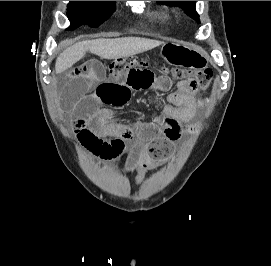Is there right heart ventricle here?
Returning a JSON list of instances; mask_svg holds the SVG:
<instances>
[{
  "label": "right heart ventricle",
  "instance_id": "obj_1",
  "mask_svg": "<svg viewBox=\"0 0 271 266\" xmlns=\"http://www.w3.org/2000/svg\"><path fill=\"white\" fill-rule=\"evenodd\" d=\"M154 15L158 16V17H162V18H165L168 16V13L167 11H164V10H156L153 12Z\"/></svg>",
  "mask_w": 271,
  "mask_h": 266
}]
</instances>
